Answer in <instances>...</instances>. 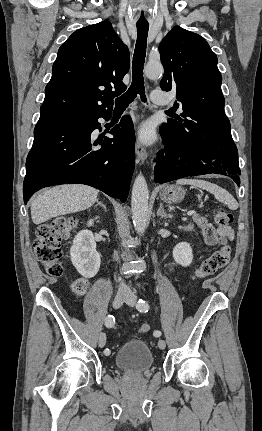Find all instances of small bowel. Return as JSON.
I'll use <instances>...</instances> for the list:
<instances>
[{
	"label": "small bowel",
	"instance_id": "small-bowel-1",
	"mask_svg": "<svg viewBox=\"0 0 262 431\" xmlns=\"http://www.w3.org/2000/svg\"><path fill=\"white\" fill-rule=\"evenodd\" d=\"M196 223L206 244L212 247L217 244L220 237L233 239V231L230 227L215 228L206 218L196 217ZM191 226V225H189Z\"/></svg>",
	"mask_w": 262,
	"mask_h": 431
}]
</instances>
